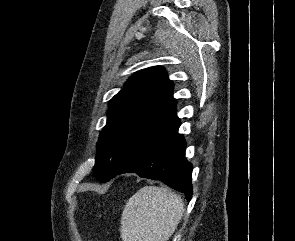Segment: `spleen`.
I'll return each mask as SVG.
<instances>
[{
  "mask_svg": "<svg viewBox=\"0 0 295 241\" xmlns=\"http://www.w3.org/2000/svg\"><path fill=\"white\" fill-rule=\"evenodd\" d=\"M184 212L182 199L165 187L144 186L127 201L122 241H168Z\"/></svg>",
  "mask_w": 295,
  "mask_h": 241,
  "instance_id": "spleen-1",
  "label": "spleen"
}]
</instances>
